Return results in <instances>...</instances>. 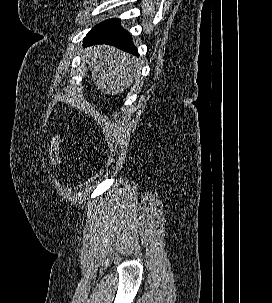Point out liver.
I'll use <instances>...</instances> for the list:
<instances>
[{
	"instance_id": "6515ba94",
	"label": "liver",
	"mask_w": 272,
	"mask_h": 303,
	"mask_svg": "<svg viewBox=\"0 0 272 303\" xmlns=\"http://www.w3.org/2000/svg\"><path fill=\"white\" fill-rule=\"evenodd\" d=\"M91 80L105 95H118L139 79V64L135 57L109 45L92 46L85 51ZM135 66V69L132 68Z\"/></svg>"
}]
</instances>
